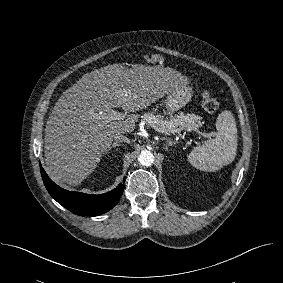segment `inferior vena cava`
Wrapping results in <instances>:
<instances>
[{"label":"inferior vena cava","instance_id":"inferior-vena-cava-1","mask_svg":"<svg viewBox=\"0 0 283 283\" xmlns=\"http://www.w3.org/2000/svg\"><path fill=\"white\" fill-rule=\"evenodd\" d=\"M114 139H115L116 141H119V142H126V143H129V142H130L129 138H127L126 136H124V135H122V134H120V133L116 134V135L114 136Z\"/></svg>","mask_w":283,"mask_h":283}]
</instances>
